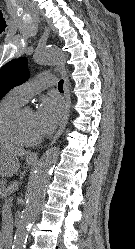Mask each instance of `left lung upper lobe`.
Wrapping results in <instances>:
<instances>
[{
    "mask_svg": "<svg viewBox=\"0 0 135 249\" xmlns=\"http://www.w3.org/2000/svg\"><path fill=\"white\" fill-rule=\"evenodd\" d=\"M29 77L27 59L11 60L0 69V99L13 87L23 84Z\"/></svg>",
    "mask_w": 135,
    "mask_h": 249,
    "instance_id": "5c2ea615",
    "label": "left lung upper lobe"
}]
</instances>
